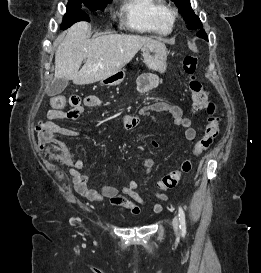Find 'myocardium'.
<instances>
[{"instance_id": "obj_1", "label": "myocardium", "mask_w": 261, "mask_h": 273, "mask_svg": "<svg viewBox=\"0 0 261 273\" xmlns=\"http://www.w3.org/2000/svg\"><path fill=\"white\" fill-rule=\"evenodd\" d=\"M178 16V12L176 9L174 8H167L166 10V20L170 25H173V23L175 22L176 18Z\"/></svg>"}]
</instances>
